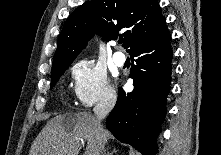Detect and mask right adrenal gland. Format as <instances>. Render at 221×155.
Masks as SVG:
<instances>
[{"instance_id":"obj_1","label":"right adrenal gland","mask_w":221,"mask_h":155,"mask_svg":"<svg viewBox=\"0 0 221 155\" xmlns=\"http://www.w3.org/2000/svg\"><path fill=\"white\" fill-rule=\"evenodd\" d=\"M117 149L113 148L112 150H109V148H107L106 150H104V155H114L117 153Z\"/></svg>"}]
</instances>
